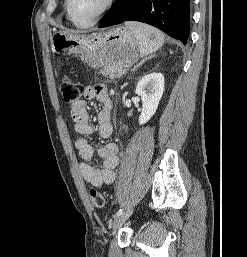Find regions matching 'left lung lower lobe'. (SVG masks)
<instances>
[{"label":"left lung lower lobe","mask_w":247,"mask_h":257,"mask_svg":"<svg viewBox=\"0 0 247 257\" xmlns=\"http://www.w3.org/2000/svg\"><path fill=\"white\" fill-rule=\"evenodd\" d=\"M124 21L150 24L186 44L190 31V1L116 0L102 18L99 27H108Z\"/></svg>","instance_id":"obj_1"}]
</instances>
